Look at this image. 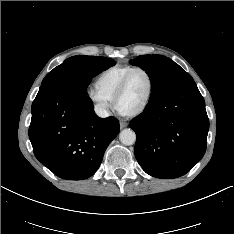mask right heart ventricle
I'll use <instances>...</instances> for the list:
<instances>
[{
  "mask_svg": "<svg viewBox=\"0 0 234 234\" xmlns=\"http://www.w3.org/2000/svg\"><path fill=\"white\" fill-rule=\"evenodd\" d=\"M134 68L131 65H115L103 70L97 77L96 85L111 100L125 75Z\"/></svg>",
  "mask_w": 234,
  "mask_h": 234,
  "instance_id": "1",
  "label": "right heart ventricle"
}]
</instances>
